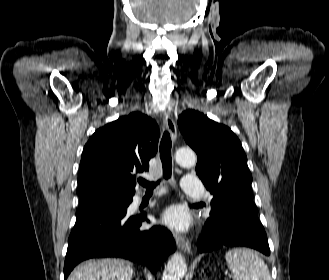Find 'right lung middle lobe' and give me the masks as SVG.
I'll list each match as a JSON object with an SVG mask.
<instances>
[{
    "label": "right lung middle lobe",
    "mask_w": 329,
    "mask_h": 280,
    "mask_svg": "<svg viewBox=\"0 0 329 280\" xmlns=\"http://www.w3.org/2000/svg\"><path fill=\"white\" fill-rule=\"evenodd\" d=\"M127 200L128 198H124V197H94V198L79 200L80 208L78 215L84 214L92 210L93 208L103 204L124 206Z\"/></svg>",
    "instance_id": "right-lung-middle-lobe-1"
}]
</instances>
